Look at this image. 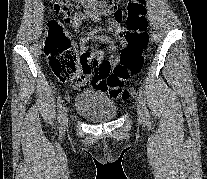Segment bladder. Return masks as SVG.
Returning <instances> with one entry per match:
<instances>
[{"instance_id":"31cf9c89","label":"bladder","mask_w":207,"mask_h":179,"mask_svg":"<svg viewBox=\"0 0 207 179\" xmlns=\"http://www.w3.org/2000/svg\"><path fill=\"white\" fill-rule=\"evenodd\" d=\"M75 111L91 123L113 120L118 113L111 98L99 88H90L76 95Z\"/></svg>"}]
</instances>
